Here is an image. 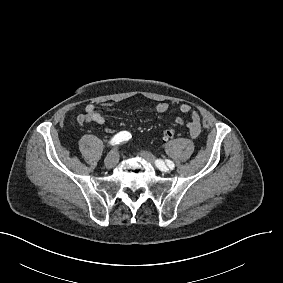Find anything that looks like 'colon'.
<instances>
[{
  "label": "colon",
  "mask_w": 283,
  "mask_h": 283,
  "mask_svg": "<svg viewBox=\"0 0 283 283\" xmlns=\"http://www.w3.org/2000/svg\"><path fill=\"white\" fill-rule=\"evenodd\" d=\"M176 132L173 128H167L166 130L163 131L162 138L165 141L171 140L174 138Z\"/></svg>",
  "instance_id": "obj_1"
}]
</instances>
